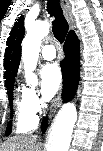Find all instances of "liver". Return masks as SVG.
Returning a JSON list of instances; mask_svg holds the SVG:
<instances>
[{
    "label": "liver",
    "mask_w": 103,
    "mask_h": 151,
    "mask_svg": "<svg viewBox=\"0 0 103 151\" xmlns=\"http://www.w3.org/2000/svg\"><path fill=\"white\" fill-rule=\"evenodd\" d=\"M37 136H14L0 146V151H38Z\"/></svg>",
    "instance_id": "6515ba94"
}]
</instances>
